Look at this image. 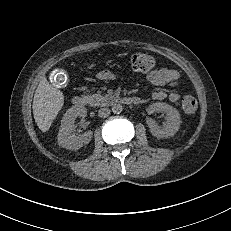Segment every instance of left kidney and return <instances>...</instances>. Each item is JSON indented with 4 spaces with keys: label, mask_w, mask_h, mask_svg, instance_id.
<instances>
[{
    "label": "left kidney",
    "mask_w": 231,
    "mask_h": 231,
    "mask_svg": "<svg viewBox=\"0 0 231 231\" xmlns=\"http://www.w3.org/2000/svg\"><path fill=\"white\" fill-rule=\"evenodd\" d=\"M150 113L161 112L166 115V122L161 127L156 125L152 119H147L151 133L157 138H168L173 136L180 127V114L174 107L167 103L156 102L149 106Z\"/></svg>",
    "instance_id": "left-kidney-1"
}]
</instances>
